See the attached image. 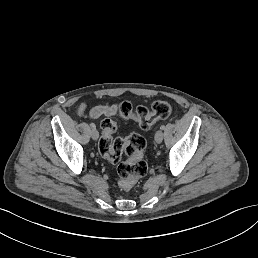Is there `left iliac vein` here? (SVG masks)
<instances>
[{
	"label": "left iliac vein",
	"mask_w": 258,
	"mask_h": 258,
	"mask_svg": "<svg viewBox=\"0 0 258 258\" xmlns=\"http://www.w3.org/2000/svg\"><path fill=\"white\" fill-rule=\"evenodd\" d=\"M163 134H164V133H163V131H162V130H160V129L156 131L155 136H154V137H155V139H154V140H155V142H156V143H158V144H159V143H161V142H162V140H163V139H162Z\"/></svg>",
	"instance_id": "1"
}]
</instances>
